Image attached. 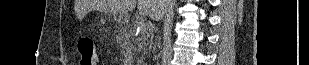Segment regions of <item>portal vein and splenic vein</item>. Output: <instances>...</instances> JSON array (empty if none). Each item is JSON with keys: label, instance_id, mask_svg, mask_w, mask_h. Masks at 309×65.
<instances>
[{"label": "portal vein and splenic vein", "instance_id": "18ae733b", "mask_svg": "<svg viewBox=\"0 0 309 65\" xmlns=\"http://www.w3.org/2000/svg\"><path fill=\"white\" fill-rule=\"evenodd\" d=\"M146 27H147V22L144 19H142L141 22H140L139 28L140 29H146Z\"/></svg>", "mask_w": 309, "mask_h": 65}]
</instances>
